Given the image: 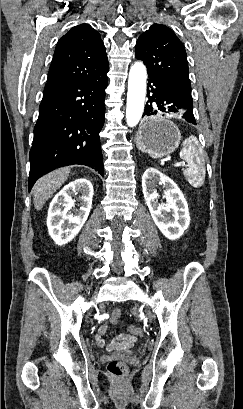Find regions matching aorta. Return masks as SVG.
<instances>
[{
  "label": "aorta",
  "instance_id": "762f6f07",
  "mask_svg": "<svg viewBox=\"0 0 243 409\" xmlns=\"http://www.w3.org/2000/svg\"><path fill=\"white\" fill-rule=\"evenodd\" d=\"M146 67L140 61L135 62L129 72L126 122L135 127L143 114L146 93Z\"/></svg>",
  "mask_w": 243,
  "mask_h": 409
}]
</instances>
